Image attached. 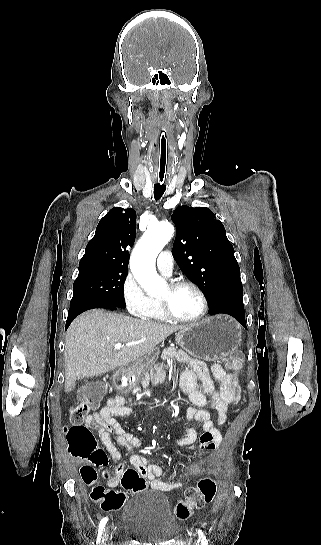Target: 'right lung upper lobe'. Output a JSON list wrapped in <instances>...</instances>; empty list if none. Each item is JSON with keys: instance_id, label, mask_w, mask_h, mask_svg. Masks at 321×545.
<instances>
[{"instance_id": "obj_1", "label": "right lung upper lobe", "mask_w": 321, "mask_h": 545, "mask_svg": "<svg viewBox=\"0 0 321 545\" xmlns=\"http://www.w3.org/2000/svg\"><path fill=\"white\" fill-rule=\"evenodd\" d=\"M135 236L136 212L131 208H112L100 220L94 237L88 242L79 269H128V248L133 245Z\"/></svg>"}]
</instances>
